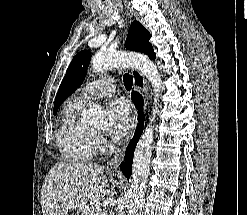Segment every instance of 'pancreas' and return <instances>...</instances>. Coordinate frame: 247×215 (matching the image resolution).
Returning <instances> with one entry per match:
<instances>
[{
  "instance_id": "obj_1",
  "label": "pancreas",
  "mask_w": 247,
  "mask_h": 215,
  "mask_svg": "<svg viewBox=\"0 0 247 215\" xmlns=\"http://www.w3.org/2000/svg\"><path fill=\"white\" fill-rule=\"evenodd\" d=\"M98 205H100L99 202L85 205L79 210V213L80 215H95Z\"/></svg>"
}]
</instances>
